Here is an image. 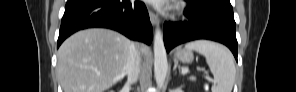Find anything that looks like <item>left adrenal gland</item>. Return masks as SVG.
<instances>
[{"label": "left adrenal gland", "mask_w": 296, "mask_h": 92, "mask_svg": "<svg viewBox=\"0 0 296 92\" xmlns=\"http://www.w3.org/2000/svg\"><path fill=\"white\" fill-rule=\"evenodd\" d=\"M176 68H178L179 72H181V67H180V65H178V61H175L173 70H175Z\"/></svg>", "instance_id": "1"}]
</instances>
